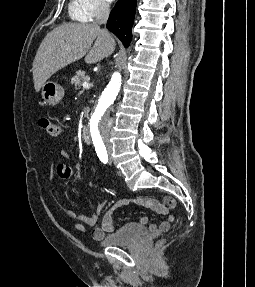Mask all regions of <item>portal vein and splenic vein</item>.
Returning <instances> with one entry per match:
<instances>
[{
	"label": "portal vein and splenic vein",
	"instance_id": "1",
	"mask_svg": "<svg viewBox=\"0 0 255 287\" xmlns=\"http://www.w3.org/2000/svg\"><path fill=\"white\" fill-rule=\"evenodd\" d=\"M83 88H89L90 84H88V82H84V84H82Z\"/></svg>",
	"mask_w": 255,
	"mask_h": 287
}]
</instances>
